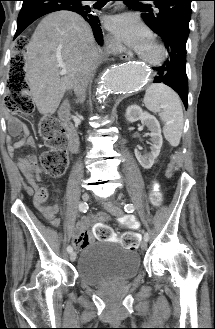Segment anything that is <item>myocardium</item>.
I'll return each mask as SVG.
<instances>
[{
    "instance_id": "obj_1",
    "label": "myocardium",
    "mask_w": 215,
    "mask_h": 329,
    "mask_svg": "<svg viewBox=\"0 0 215 329\" xmlns=\"http://www.w3.org/2000/svg\"><path fill=\"white\" fill-rule=\"evenodd\" d=\"M151 46L154 49L155 54L153 56L140 54L139 55L140 60H142L143 62H145L146 64H148L150 66L162 65L168 56V51H167L166 47L159 42H154V43H152Z\"/></svg>"
}]
</instances>
